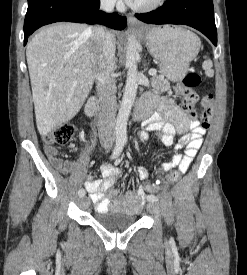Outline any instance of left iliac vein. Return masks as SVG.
<instances>
[{"label": "left iliac vein", "mask_w": 247, "mask_h": 275, "mask_svg": "<svg viewBox=\"0 0 247 275\" xmlns=\"http://www.w3.org/2000/svg\"><path fill=\"white\" fill-rule=\"evenodd\" d=\"M147 210L154 215H158L160 212L159 205L156 201L149 202L147 205Z\"/></svg>", "instance_id": "1"}]
</instances>
